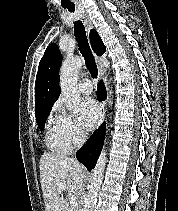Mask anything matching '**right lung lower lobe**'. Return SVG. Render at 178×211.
Masks as SVG:
<instances>
[{"mask_svg": "<svg viewBox=\"0 0 178 211\" xmlns=\"http://www.w3.org/2000/svg\"><path fill=\"white\" fill-rule=\"evenodd\" d=\"M98 99L106 98V89L101 82L97 91ZM106 124L103 123L90 137L87 143L76 153V157L89 171H91L97 162L100 152L103 147L105 138Z\"/></svg>", "mask_w": 178, "mask_h": 211, "instance_id": "right-lung-lower-lobe-1", "label": "right lung lower lobe"}]
</instances>
